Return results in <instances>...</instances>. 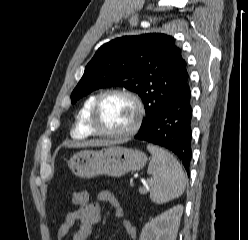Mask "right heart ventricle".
Returning a JSON list of instances; mask_svg holds the SVG:
<instances>
[{
    "label": "right heart ventricle",
    "instance_id": "obj_1",
    "mask_svg": "<svg viewBox=\"0 0 248 240\" xmlns=\"http://www.w3.org/2000/svg\"><path fill=\"white\" fill-rule=\"evenodd\" d=\"M98 96L99 94H92L88 96L80 106L71 130V135L73 138L82 140L94 134L89 120L91 110Z\"/></svg>",
    "mask_w": 248,
    "mask_h": 240
}]
</instances>
